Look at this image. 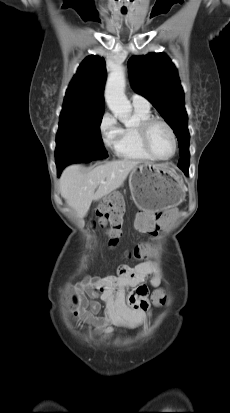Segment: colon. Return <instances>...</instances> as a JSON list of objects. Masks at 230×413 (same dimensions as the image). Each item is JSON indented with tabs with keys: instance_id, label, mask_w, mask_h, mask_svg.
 Returning a JSON list of instances; mask_svg holds the SVG:
<instances>
[{
	"instance_id": "5ec220e1",
	"label": "colon",
	"mask_w": 230,
	"mask_h": 413,
	"mask_svg": "<svg viewBox=\"0 0 230 413\" xmlns=\"http://www.w3.org/2000/svg\"><path fill=\"white\" fill-rule=\"evenodd\" d=\"M125 204L124 192H111L108 197V201L102 202L97 207V218L95 224L100 226H109L108 236L109 243L114 246L118 238L122 235L123 228V206ZM151 234H156L158 231H148ZM151 253V250L147 246H138L134 248L129 256L134 259L146 258ZM153 301L156 305H162L165 301V296L160 293H156L153 296Z\"/></svg>"
}]
</instances>
